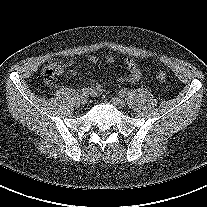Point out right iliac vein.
<instances>
[{
  "mask_svg": "<svg viewBox=\"0 0 207 207\" xmlns=\"http://www.w3.org/2000/svg\"><path fill=\"white\" fill-rule=\"evenodd\" d=\"M80 102L82 104H86L87 103V95H81L80 96Z\"/></svg>",
  "mask_w": 207,
  "mask_h": 207,
  "instance_id": "right-iliac-vein-1",
  "label": "right iliac vein"
}]
</instances>
